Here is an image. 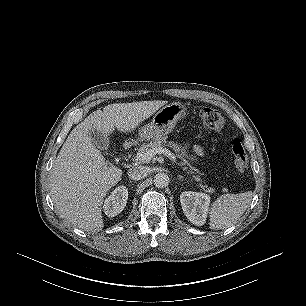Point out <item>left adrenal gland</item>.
<instances>
[{
  "instance_id": "obj_1",
  "label": "left adrenal gland",
  "mask_w": 306,
  "mask_h": 306,
  "mask_svg": "<svg viewBox=\"0 0 306 306\" xmlns=\"http://www.w3.org/2000/svg\"><path fill=\"white\" fill-rule=\"evenodd\" d=\"M177 179L182 180V179H184V177L181 176V175H178V176H177Z\"/></svg>"
}]
</instances>
